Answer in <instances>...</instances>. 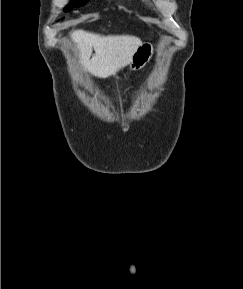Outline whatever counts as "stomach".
Wrapping results in <instances>:
<instances>
[{
  "label": "stomach",
  "instance_id": "stomach-1",
  "mask_svg": "<svg viewBox=\"0 0 243 289\" xmlns=\"http://www.w3.org/2000/svg\"><path fill=\"white\" fill-rule=\"evenodd\" d=\"M154 48L151 43H142L134 53L129 66L131 70L142 69L153 57Z\"/></svg>",
  "mask_w": 243,
  "mask_h": 289
}]
</instances>
